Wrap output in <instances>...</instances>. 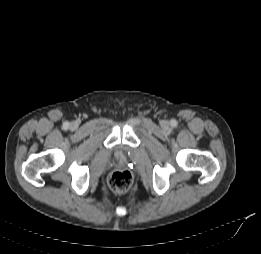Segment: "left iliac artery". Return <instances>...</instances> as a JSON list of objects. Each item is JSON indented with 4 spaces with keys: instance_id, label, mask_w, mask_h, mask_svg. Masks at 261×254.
Segmentation results:
<instances>
[{
    "instance_id": "obj_1",
    "label": "left iliac artery",
    "mask_w": 261,
    "mask_h": 254,
    "mask_svg": "<svg viewBox=\"0 0 261 254\" xmlns=\"http://www.w3.org/2000/svg\"><path fill=\"white\" fill-rule=\"evenodd\" d=\"M171 125H172L173 127H176V126H177V121H176V120H172V121H171Z\"/></svg>"
}]
</instances>
